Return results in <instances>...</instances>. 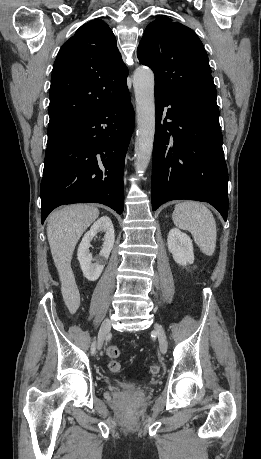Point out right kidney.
Instances as JSON below:
<instances>
[{"instance_id":"ca27d5eb","label":"right kidney","mask_w":261,"mask_h":459,"mask_svg":"<svg viewBox=\"0 0 261 459\" xmlns=\"http://www.w3.org/2000/svg\"><path fill=\"white\" fill-rule=\"evenodd\" d=\"M101 231L105 232L104 242L96 262L92 263L93 258L89 251L90 242L96 236V234ZM114 241V227L111 219L108 216L99 218L91 226L90 230L85 233L78 247L77 256L83 274L89 281H96L100 277L113 248Z\"/></svg>"}]
</instances>
